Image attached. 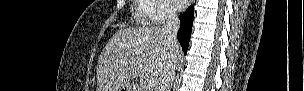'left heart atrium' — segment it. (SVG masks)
I'll list each match as a JSON object with an SVG mask.
<instances>
[{"instance_id": "1", "label": "left heart atrium", "mask_w": 304, "mask_h": 91, "mask_svg": "<svg viewBox=\"0 0 304 91\" xmlns=\"http://www.w3.org/2000/svg\"><path fill=\"white\" fill-rule=\"evenodd\" d=\"M171 2L173 6L178 10L184 9L185 7H187L188 4L187 0H172Z\"/></svg>"}]
</instances>
